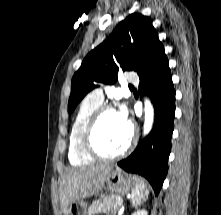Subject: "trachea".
Listing matches in <instances>:
<instances>
[{
  "label": "trachea",
  "instance_id": "obj_1",
  "mask_svg": "<svg viewBox=\"0 0 221 215\" xmlns=\"http://www.w3.org/2000/svg\"><path fill=\"white\" fill-rule=\"evenodd\" d=\"M129 87H130V88H133V86H132V85H129Z\"/></svg>",
  "mask_w": 221,
  "mask_h": 215
}]
</instances>
